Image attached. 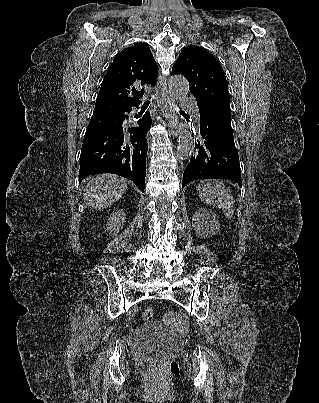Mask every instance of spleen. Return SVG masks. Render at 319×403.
<instances>
[{
    "mask_svg": "<svg viewBox=\"0 0 319 403\" xmlns=\"http://www.w3.org/2000/svg\"><path fill=\"white\" fill-rule=\"evenodd\" d=\"M197 193L201 201L222 209L226 218L234 215V198L231 191L218 180L203 181L197 186Z\"/></svg>",
    "mask_w": 319,
    "mask_h": 403,
    "instance_id": "1",
    "label": "spleen"
}]
</instances>
